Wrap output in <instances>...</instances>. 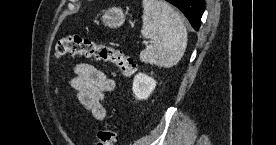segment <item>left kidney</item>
I'll list each match as a JSON object with an SVG mask.
<instances>
[{
    "mask_svg": "<svg viewBox=\"0 0 276 145\" xmlns=\"http://www.w3.org/2000/svg\"><path fill=\"white\" fill-rule=\"evenodd\" d=\"M156 87V81L144 73H138L133 80V93L138 100L147 99Z\"/></svg>",
    "mask_w": 276,
    "mask_h": 145,
    "instance_id": "1",
    "label": "left kidney"
}]
</instances>
